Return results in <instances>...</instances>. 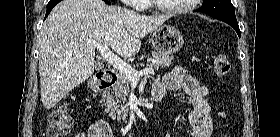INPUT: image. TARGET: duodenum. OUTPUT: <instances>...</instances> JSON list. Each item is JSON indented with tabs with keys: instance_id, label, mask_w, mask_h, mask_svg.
Masks as SVG:
<instances>
[{
	"instance_id": "duodenum-1",
	"label": "duodenum",
	"mask_w": 280,
	"mask_h": 137,
	"mask_svg": "<svg viewBox=\"0 0 280 137\" xmlns=\"http://www.w3.org/2000/svg\"><path fill=\"white\" fill-rule=\"evenodd\" d=\"M117 82V74L114 71L106 73L96 84V90L102 91L110 89ZM152 93L156 102H160L163 98V91L159 85H154ZM139 125H143V122H140Z\"/></svg>"
}]
</instances>
